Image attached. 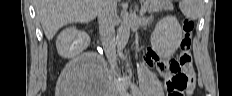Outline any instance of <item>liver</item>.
Segmentation results:
<instances>
[{
  "mask_svg": "<svg viewBox=\"0 0 232 96\" xmlns=\"http://www.w3.org/2000/svg\"><path fill=\"white\" fill-rule=\"evenodd\" d=\"M100 0H34L38 20L48 40L72 22L92 21L99 10Z\"/></svg>",
  "mask_w": 232,
  "mask_h": 96,
  "instance_id": "6515ba94",
  "label": "liver"
}]
</instances>
